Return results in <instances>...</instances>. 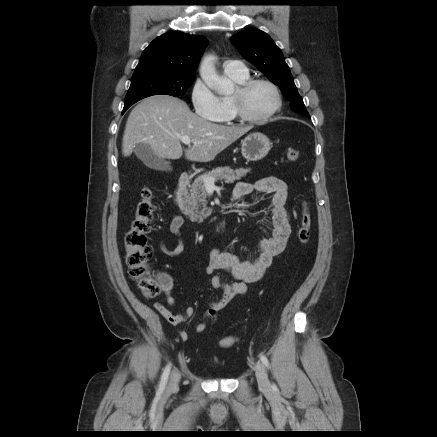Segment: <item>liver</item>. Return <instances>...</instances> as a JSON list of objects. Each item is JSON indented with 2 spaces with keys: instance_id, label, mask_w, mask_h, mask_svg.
Returning <instances> with one entry per match:
<instances>
[{
  "instance_id": "1",
  "label": "liver",
  "mask_w": 437,
  "mask_h": 437,
  "mask_svg": "<svg viewBox=\"0 0 437 437\" xmlns=\"http://www.w3.org/2000/svg\"><path fill=\"white\" fill-rule=\"evenodd\" d=\"M251 128L210 122L192 113L178 98L155 95L143 99L131 111L122 139V154L130 156L136 144L145 143L158 157L176 160L183 155L178 136H186L193 145L185 150V158L210 162Z\"/></svg>"
}]
</instances>
